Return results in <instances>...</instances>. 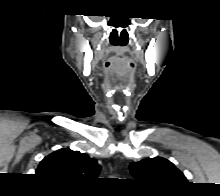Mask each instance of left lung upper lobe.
Returning <instances> with one entry per match:
<instances>
[{"label":"left lung upper lobe","instance_id":"5c2ea615","mask_svg":"<svg viewBox=\"0 0 220 196\" xmlns=\"http://www.w3.org/2000/svg\"><path fill=\"white\" fill-rule=\"evenodd\" d=\"M130 171L138 182L160 189H177L188 183L184 174L162 157L131 163Z\"/></svg>","mask_w":220,"mask_h":196}]
</instances>
